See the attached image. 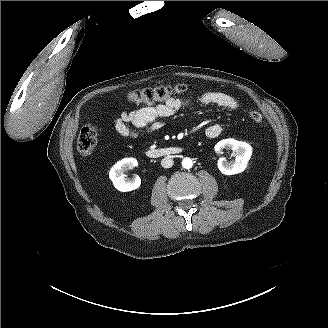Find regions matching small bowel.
Instances as JSON below:
<instances>
[{
	"mask_svg": "<svg viewBox=\"0 0 328 328\" xmlns=\"http://www.w3.org/2000/svg\"><path fill=\"white\" fill-rule=\"evenodd\" d=\"M192 104L215 105L229 111L239 109V101L223 92H206L195 99L168 98L164 103L156 106L137 108L123 111L114 118L115 131L125 138H139L143 133H152L163 127V119L171 117L180 109ZM222 132L219 124H212L205 130L209 138H217Z\"/></svg>",
	"mask_w": 328,
	"mask_h": 328,
	"instance_id": "small-bowel-1",
	"label": "small bowel"
}]
</instances>
